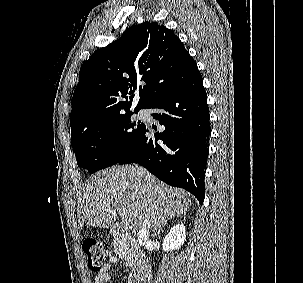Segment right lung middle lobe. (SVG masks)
I'll use <instances>...</instances> for the list:
<instances>
[{
    "mask_svg": "<svg viewBox=\"0 0 303 283\" xmlns=\"http://www.w3.org/2000/svg\"><path fill=\"white\" fill-rule=\"evenodd\" d=\"M145 127L143 123L133 122L128 113L77 130L71 134V144L78 166L95 173L117 164L132 149Z\"/></svg>",
    "mask_w": 303,
    "mask_h": 283,
    "instance_id": "obj_1",
    "label": "right lung middle lobe"
}]
</instances>
